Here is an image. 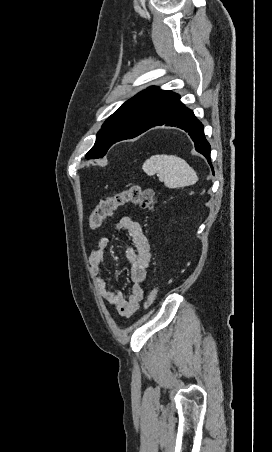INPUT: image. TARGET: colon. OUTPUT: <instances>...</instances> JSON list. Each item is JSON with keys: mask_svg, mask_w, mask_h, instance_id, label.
I'll return each instance as SVG.
<instances>
[{"mask_svg": "<svg viewBox=\"0 0 272 452\" xmlns=\"http://www.w3.org/2000/svg\"><path fill=\"white\" fill-rule=\"evenodd\" d=\"M156 200V193L152 189H144L139 185L127 186L100 199L90 212L89 224L94 229L99 228L103 221L112 217L119 209L129 205L151 210ZM158 292V286H154L150 290L145 308L154 302Z\"/></svg>", "mask_w": 272, "mask_h": 452, "instance_id": "1", "label": "colon"}]
</instances>
